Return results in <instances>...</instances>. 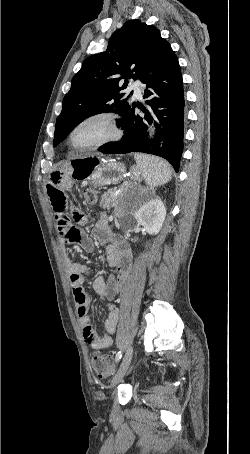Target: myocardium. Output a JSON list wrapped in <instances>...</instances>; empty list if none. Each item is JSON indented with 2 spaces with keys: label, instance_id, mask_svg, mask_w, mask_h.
Masks as SVG:
<instances>
[{
  "label": "myocardium",
  "instance_id": "f54148a6",
  "mask_svg": "<svg viewBox=\"0 0 250 454\" xmlns=\"http://www.w3.org/2000/svg\"><path fill=\"white\" fill-rule=\"evenodd\" d=\"M94 123H102L103 125H105L107 130L106 134L102 138L90 144L84 146L76 145L74 143V137L76 133L83 127ZM120 137L121 129L118 125L116 116L110 112H96L84 117L72 127L68 134V145L76 152L85 153L97 150L113 141H116Z\"/></svg>",
  "mask_w": 250,
  "mask_h": 454
}]
</instances>
